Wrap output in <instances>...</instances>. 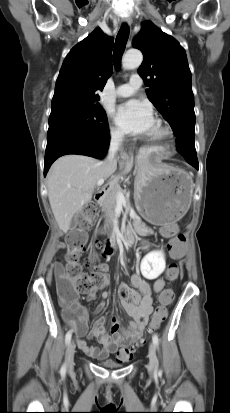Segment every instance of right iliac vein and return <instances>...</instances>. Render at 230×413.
I'll return each instance as SVG.
<instances>
[{"instance_id":"1","label":"right iliac vein","mask_w":230,"mask_h":413,"mask_svg":"<svg viewBox=\"0 0 230 413\" xmlns=\"http://www.w3.org/2000/svg\"><path fill=\"white\" fill-rule=\"evenodd\" d=\"M75 342L71 341L69 343L67 352H66V365L68 370H71L74 366V354H75Z\"/></svg>"}]
</instances>
